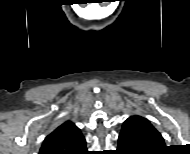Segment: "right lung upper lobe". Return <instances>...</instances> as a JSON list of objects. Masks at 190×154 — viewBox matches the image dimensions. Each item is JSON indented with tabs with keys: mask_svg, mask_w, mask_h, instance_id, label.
<instances>
[{
	"mask_svg": "<svg viewBox=\"0 0 190 154\" xmlns=\"http://www.w3.org/2000/svg\"><path fill=\"white\" fill-rule=\"evenodd\" d=\"M86 151L80 129L68 120L45 138L39 154H84Z\"/></svg>",
	"mask_w": 190,
	"mask_h": 154,
	"instance_id": "1",
	"label": "right lung upper lobe"
}]
</instances>
